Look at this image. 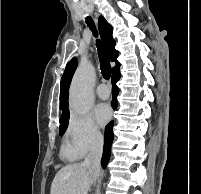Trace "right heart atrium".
<instances>
[{"mask_svg": "<svg viewBox=\"0 0 201 194\" xmlns=\"http://www.w3.org/2000/svg\"><path fill=\"white\" fill-rule=\"evenodd\" d=\"M102 144V134L89 115L70 116L64 142V153L70 158H81Z\"/></svg>", "mask_w": 201, "mask_h": 194, "instance_id": "obj_1", "label": "right heart atrium"}]
</instances>
